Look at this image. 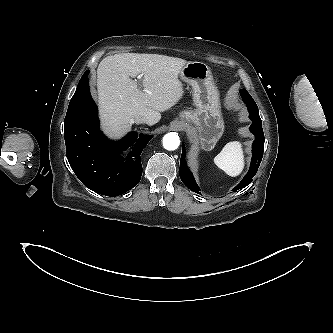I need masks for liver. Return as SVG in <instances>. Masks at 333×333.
<instances>
[{
    "instance_id": "1",
    "label": "liver",
    "mask_w": 333,
    "mask_h": 333,
    "mask_svg": "<svg viewBox=\"0 0 333 333\" xmlns=\"http://www.w3.org/2000/svg\"><path fill=\"white\" fill-rule=\"evenodd\" d=\"M187 61L159 54L122 53L104 58L97 69L100 117L104 131L120 136L136 117H146L148 125L161 119V112L183 96L179 81ZM143 74V90L130 77Z\"/></svg>"
}]
</instances>
